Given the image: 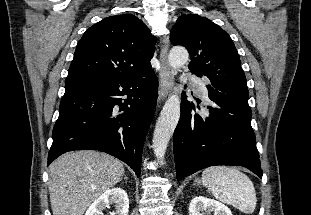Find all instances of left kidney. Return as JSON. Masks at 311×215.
<instances>
[{
  "label": "left kidney",
  "mask_w": 311,
  "mask_h": 215,
  "mask_svg": "<svg viewBox=\"0 0 311 215\" xmlns=\"http://www.w3.org/2000/svg\"><path fill=\"white\" fill-rule=\"evenodd\" d=\"M211 212L214 215H232L227 206L204 196H196L190 202L189 215H206Z\"/></svg>",
  "instance_id": "1"
}]
</instances>
